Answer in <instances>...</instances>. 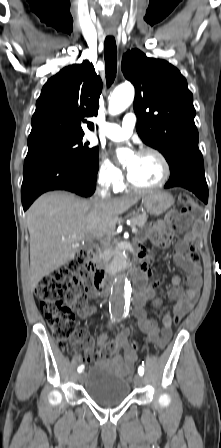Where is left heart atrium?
I'll list each match as a JSON object with an SVG mask.
<instances>
[{"mask_svg":"<svg viewBox=\"0 0 221 448\" xmlns=\"http://www.w3.org/2000/svg\"><path fill=\"white\" fill-rule=\"evenodd\" d=\"M128 171H129V173H130V168H128Z\"/></svg>","mask_w":221,"mask_h":448,"instance_id":"39dd6f15","label":"left heart atrium"}]
</instances>
